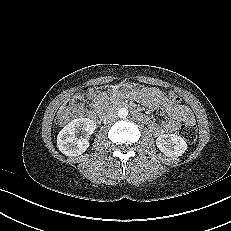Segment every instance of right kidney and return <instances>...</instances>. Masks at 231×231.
Masks as SVG:
<instances>
[{"label":"right kidney","instance_id":"right-kidney-1","mask_svg":"<svg viewBox=\"0 0 231 231\" xmlns=\"http://www.w3.org/2000/svg\"><path fill=\"white\" fill-rule=\"evenodd\" d=\"M96 123L89 118H77L68 123L57 136V147L66 156H78L89 147V137L94 133ZM79 131L86 133L85 137L77 138Z\"/></svg>","mask_w":231,"mask_h":231}]
</instances>
